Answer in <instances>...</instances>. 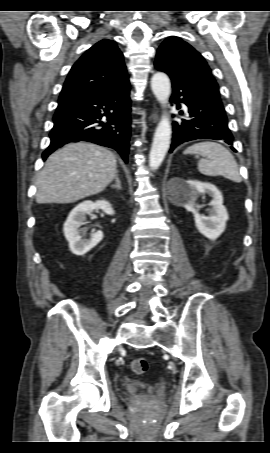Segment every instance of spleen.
<instances>
[{
	"instance_id": "1",
	"label": "spleen",
	"mask_w": 270,
	"mask_h": 453,
	"mask_svg": "<svg viewBox=\"0 0 270 453\" xmlns=\"http://www.w3.org/2000/svg\"><path fill=\"white\" fill-rule=\"evenodd\" d=\"M184 154H196L203 157L198 161L197 168L204 175H221L234 182H241L242 180L234 156L219 143H197L188 147Z\"/></svg>"
}]
</instances>
